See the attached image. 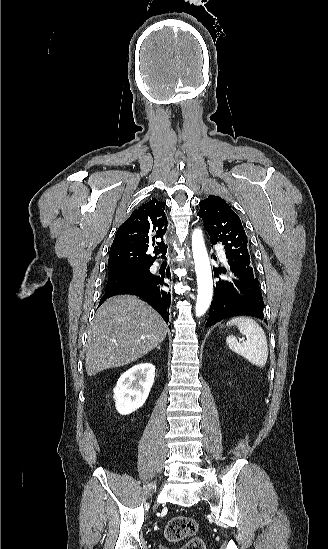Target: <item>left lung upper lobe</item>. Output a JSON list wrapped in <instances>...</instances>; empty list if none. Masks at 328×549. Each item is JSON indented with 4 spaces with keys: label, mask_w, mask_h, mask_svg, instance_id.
<instances>
[{
    "label": "left lung upper lobe",
    "mask_w": 328,
    "mask_h": 549,
    "mask_svg": "<svg viewBox=\"0 0 328 549\" xmlns=\"http://www.w3.org/2000/svg\"><path fill=\"white\" fill-rule=\"evenodd\" d=\"M199 205L197 215L204 221L212 246L221 242L225 246L228 261L253 273L247 236L237 214L218 196L210 195Z\"/></svg>",
    "instance_id": "5c2ea615"
}]
</instances>
